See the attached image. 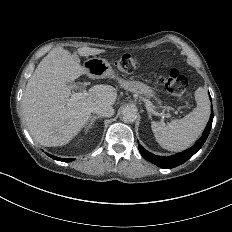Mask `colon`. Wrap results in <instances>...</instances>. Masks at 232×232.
Instances as JSON below:
<instances>
[{
  "mask_svg": "<svg viewBox=\"0 0 232 232\" xmlns=\"http://www.w3.org/2000/svg\"><path fill=\"white\" fill-rule=\"evenodd\" d=\"M117 66H122V73H140L136 68V61H130V56H115ZM158 84L166 87L171 94H178L177 102H183V94L187 93L190 81H187L179 72L172 71L170 74L160 72L156 76Z\"/></svg>",
  "mask_w": 232,
  "mask_h": 232,
  "instance_id": "5ec220e1",
  "label": "colon"
}]
</instances>
